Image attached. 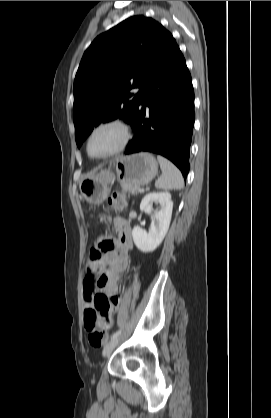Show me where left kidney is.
<instances>
[{
  "label": "left kidney",
  "mask_w": 271,
  "mask_h": 418,
  "mask_svg": "<svg viewBox=\"0 0 271 418\" xmlns=\"http://www.w3.org/2000/svg\"><path fill=\"white\" fill-rule=\"evenodd\" d=\"M159 203L160 209L153 212L152 204ZM140 209L151 215L149 232L135 226L132 236L135 245L144 253L154 251L166 236L171 222L173 202L168 192H153L145 195Z\"/></svg>",
  "instance_id": "1"
}]
</instances>
